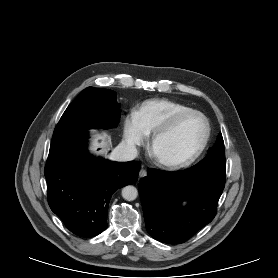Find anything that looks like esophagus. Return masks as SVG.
<instances>
[{
  "mask_svg": "<svg viewBox=\"0 0 278 278\" xmlns=\"http://www.w3.org/2000/svg\"><path fill=\"white\" fill-rule=\"evenodd\" d=\"M147 176V171L145 169H141L139 171V178H143Z\"/></svg>",
  "mask_w": 278,
  "mask_h": 278,
  "instance_id": "obj_1",
  "label": "esophagus"
}]
</instances>
